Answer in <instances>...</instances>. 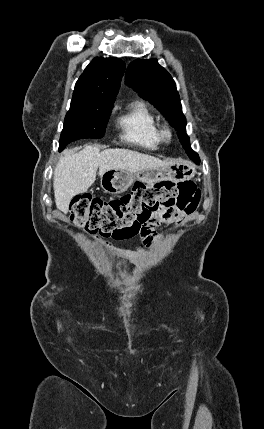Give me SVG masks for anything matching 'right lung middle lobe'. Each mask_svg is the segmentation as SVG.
<instances>
[{
    "instance_id": "obj_1",
    "label": "right lung middle lobe",
    "mask_w": 264,
    "mask_h": 429,
    "mask_svg": "<svg viewBox=\"0 0 264 429\" xmlns=\"http://www.w3.org/2000/svg\"><path fill=\"white\" fill-rule=\"evenodd\" d=\"M113 103L111 101L72 99L65 117L59 150L77 139L102 138Z\"/></svg>"
}]
</instances>
